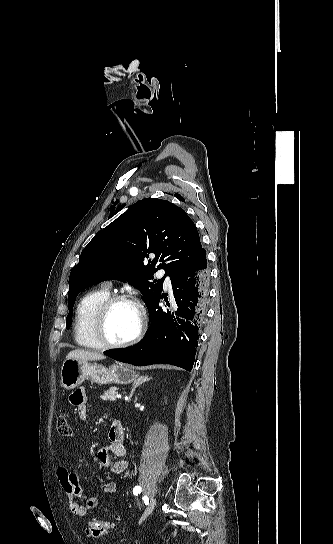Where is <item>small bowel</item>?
Segmentation results:
<instances>
[{
    "label": "small bowel",
    "mask_w": 333,
    "mask_h": 544,
    "mask_svg": "<svg viewBox=\"0 0 333 544\" xmlns=\"http://www.w3.org/2000/svg\"><path fill=\"white\" fill-rule=\"evenodd\" d=\"M70 403L75 407L78 417L86 420L88 416L87 402L88 398L83 388L75 390L69 397ZM109 445L101 449L97 454V461L100 466L110 468L114 474H121L128 468V462L125 459L127 449L124 445V435L121 423L117 420L111 422L108 432ZM112 457L118 458L112 461ZM57 477L60 485L68 496L70 511L77 516L86 515L87 511L98 506L96 497L86 496L79 485V479L74 471L61 466L57 470ZM117 491L115 482H109L104 487L106 494H114Z\"/></svg>",
    "instance_id": "c3829d8e"
}]
</instances>
